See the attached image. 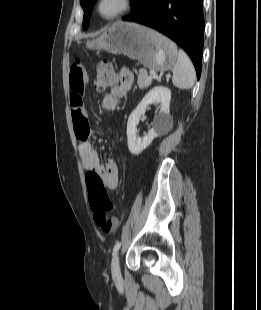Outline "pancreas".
<instances>
[{
  "mask_svg": "<svg viewBox=\"0 0 261 310\" xmlns=\"http://www.w3.org/2000/svg\"><path fill=\"white\" fill-rule=\"evenodd\" d=\"M137 78V83L140 89H145L152 83V78H149L147 71L144 69L139 70Z\"/></svg>",
  "mask_w": 261,
  "mask_h": 310,
  "instance_id": "cf45deb5",
  "label": "pancreas"
}]
</instances>
